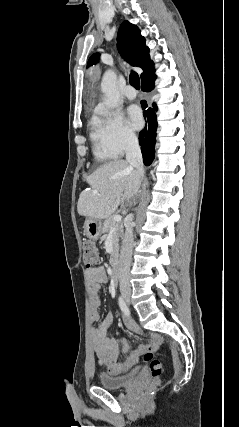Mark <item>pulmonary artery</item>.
Segmentation results:
<instances>
[{"mask_svg":"<svg viewBox=\"0 0 239 427\" xmlns=\"http://www.w3.org/2000/svg\"><path fill=\"white\" fill-rule=\"evenodd\" d=\"M124 94L130 100H132L136 97V91L131 85H127L124 88Z\"/></svg>","mask_w":239,"mask_h":427,"instance_id":"pulmonary-artery-1","label":"pulmonary artery"}]
</instances>
